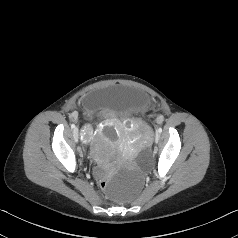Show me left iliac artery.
<instances>
[{"label":"left iliac artery","instance_id":"1","mask_svg":"<svg viewBox=\"0 0 238 238\" xmlns=\"http://www.w3.org/2000/svg\"><path fill=\"white\" fill-rule=\"evenodd\" d=\"M157 132L161 133L162 132V128H158Z\"/></svg>","mask_w":238,"mask_h":238}]
</instances>
